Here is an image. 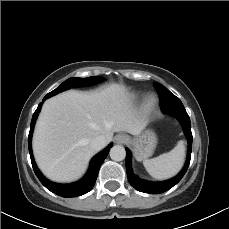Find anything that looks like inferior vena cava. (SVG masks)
Masks as SVG:
<instances>
[{"mask_svg": "<svg viewBox=\"0 0 229 229\" xmlns=\"http://www.w3.org/2000/svg\"><path fill=\"white\" fill-rule=\"evenodd\" d=\"M105 145H106V139L102 135L94 137L90 142V146L95 151L101 150Z\"/></svg>", "mask_w": 229, "mask_h": 229, "instance_id": "obj_1", "label": "inferior vena cava"}]
</instances>
